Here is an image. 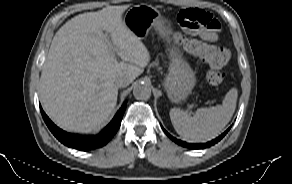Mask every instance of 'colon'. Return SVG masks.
Masks as SVG:
<instances>
[{"label": "colon", "mask_w": 292, "mask_h": 184, "mask_svg": "<svg viewBox=\"0 0 292 184\" xmlns=\"http://www.w3.org/2000/svg\"><path fill=\"white\" fill-rule=\"evenodd\" d=\"M177 18L182 28L190 33H197L202 29L219 30L220 28L218 20L211 13L202 9L181 10ZM180 43L187 52L198 56L211 67L207 73V81L211 85L222 83L225 78L222 69L229 64L231 59L229 50L193 38H181Z\"/></svg>", "instance_id": "1"}]
</instances>
